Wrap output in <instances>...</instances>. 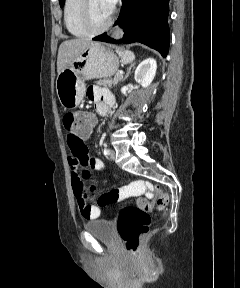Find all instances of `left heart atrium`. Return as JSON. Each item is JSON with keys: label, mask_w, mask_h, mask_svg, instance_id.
Returning a JSON list of instances; mask_svg holds the SVG:
<instances>
[{"label": "left heart atrium", "mask_w": 240, "mask_h": 288, "mask_svg": "<svg viewBox=\"0 0 240 288\" xmlns=\"http://www.w3.org/2000/svg\"><path fill=\"white\" fill-rule=\"evenodd\" d=\"M103 8L108 14H111L115 8L117 0H100Z\"/></svg>", "instance_id": "left-heart-atrium-1"}]
</instances>
